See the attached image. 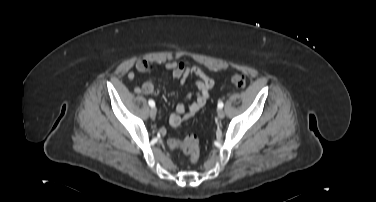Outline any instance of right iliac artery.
<instances>
[{
	"instance_id": "obj_1",
	"label": "right iliac artery",
	"mask_w": 376,
	"mask_h": 202,
	"mask_svg": "<svg viewBox=\"0 0 376 202\" xmlns=\"http://www.w3.org/2000/svg\"><path fill=\"white\" fill-rule=\"evenodd\" d=\"M150 107H155V102L153 100L148 101Z\"/></svg>"
}]
</instances>
